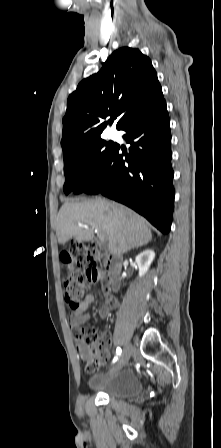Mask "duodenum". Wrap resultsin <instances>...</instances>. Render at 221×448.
Here are the masks:
<instances>
[{"label":"duodenum","instance_id":"obj_1","mask_svg":"<svg viewBox=\"0 0 221 448\" xmlns=\"http://www.w3.org/2000/svg\"><path fill=\"white\" fill-rule=\"evenodd\" d=\"M121 270V260L114 253H110L109 261L107 264L108 278L113 288L116 287L117 277Z\"/></svg>","mask_w":221,"mask_h":448}]
</instances>
